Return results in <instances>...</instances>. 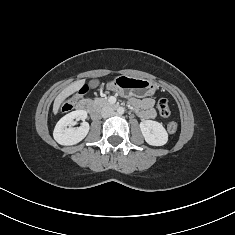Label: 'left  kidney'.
I'll list each match as a JSON object with an SVG mask.
<instances>
[{
  "label": "left kidney",
  "instance_id": "obj_1",
  "mask_svg": "<svg viewBox=\"0 0 235 235\" xmlns=\"http://www.w3.org/2000/svg\"><path fill=\"white\" fill-rule=\"evenodd\" d=\"M140 130L149 145L163 146L168 141V133L159 122L144 120L140 122Z\"/></svg>",
  "mask_w": 235,
  "mask_h": 235
}]
</instances>
